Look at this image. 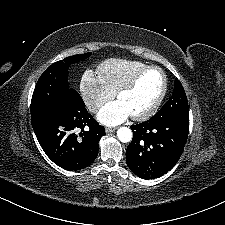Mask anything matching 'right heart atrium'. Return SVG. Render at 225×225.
<instances>
[{
    "mask_svg": "<svg viewBox=\"0 0 225 225\" xmlns=\"http://www.w3.org/2000/svg\"><path fill=\"white\" fill-rule=\"evenodd\" d=\"M80 91L87 107L96 112L114 94L105 86L102 79L91 71H86L80 80Z\"/></svg>",
    "mask_w": 225,
    "mask_h": 225,
    "instance_id": "d8ad5b80",
    "label": "right heart atrium"
}]
</instances>
